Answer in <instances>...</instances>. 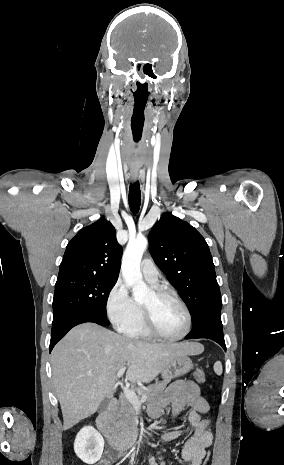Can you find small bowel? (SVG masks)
Masks as SVG:
<instances>
[{
    "mask_svg": "<svg viewBox=\"0 0 284 465\" xmlns=\"http://www.w3.org/2000/svg\"><path fill=\"white\" fill-rule=\"evenodd\" d=\"M168 410L169 419L176 418L186 412V420L193 427L192 435L187 438L181 450V459L186 465H201L205 450L213 442L211 422L207 415L210 411L208 402L201 396L198 385L193 381L177 380L170 384L162 396L150 406L149 416L152 420H159ZM185 428H178L163 434L164 443L178 439ZM160 455V452L157 451ZM120 457H125L122 453ZM113 456L105 453L99 465H110ZM149 465H158L154 457H150ZM163 465L164 463H160Z\"/></svg>",
    "mask_w": 284,
    "mask_h": 465,
    "instance_id": "1",
    "label": "small bowel"
}]
</instances>
